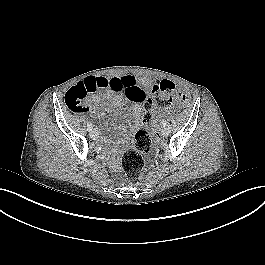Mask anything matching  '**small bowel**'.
<instances>
[{
	"instance_id": "obj_1",
	"label": "small bowel",
	"mask_w": 265,
	"mask_h": 265,
	"mask_svg": "<svg viewBox=\"0 0 265 265\" xmlns=\"http://www.w3.org/2000/svg\"><path fill=\"white\" fill-rule=\"evenodd\" d=\"M91 79L97 84V90L102 89L104 92L89 95L86 98L84 110H90L93 104L99 103L103 99H112L111 106L119 107L122 103L123 96L134 103L132 106L133 121L131 127L133 129L138 127L142 116L141 105L148 101L149 95L147 91L153 89L156 82H151L146 79L137 81L135 77L130 75L94 77ZM138 85H141L144 89Z\"/></svg>"
}]
</instances>
